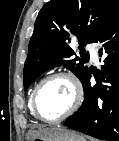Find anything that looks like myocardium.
I'll return each mask as SVG.
<instances>
[{"label": "myocardium", "instance_id": "myocardium-1", "mask_svg": "<svg viewBox=\"0 0 119 141\" xmlns=\"http://www.w3.org/2000/svg\"><path fill=\"white\" fill-rule=\"evenodd\" d=\"M56 78H65L70 82L73 89L74 97H73L72 104L63 114L53 119H46V118H43L38 112L37 98L42 87L49 81ZM82 100H83V89L78 78L71 72L60 71V72H56V73L48 75L37 84L32 94V100H31L32 112H33V115L42 122L55 123V122L62 121L68 118L69 116H71L72 114H74L80 107Z\"/></svg>", "mask_w": 119, "mask_h": 141}]
</instances>
